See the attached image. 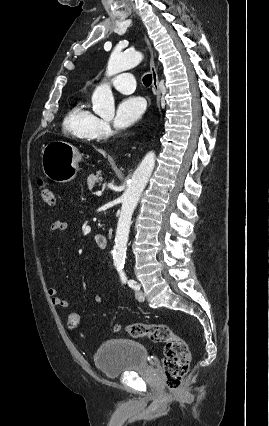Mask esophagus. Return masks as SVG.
Returning <instances> with one entry per match:
<instances>
[{
  "label": "esophagus",
  "mask_w": 269,
  "mask_h": 426,
  "mask_svg": "<svg viewBox=\"0 0 269 426\" xmlns=\"http://www.w3.org/2000/svg\"><path fill=\"white\" fill-rule=\"evenodd\" d=\"M146 41H147V44H148L150 52H151L150 72L152 74V91H153L155 98H156V105H157V107H159L160 90H159V82H158V73H157V68L155 66L154 55H153V51H152L150 42H149L148 39H146Z\"/></svg>",
  "instance_id": "esophagus-1"
}]
</instances>
